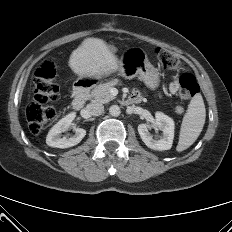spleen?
<instances>
[{
  "label": "spleen",
  "mask_w": 232,
  "mask_h": 232,
  "mask_svg": "<svg viewBox=\"0 0 232 232\" xmlns=\"http://www.w3.org/2000/svg\"><path fill=\"white\" fill-rule=\"evenodd\" d=\"M206 118V109L201 94H196L190 101L180 128L178 152L189 148L200 135Z\"/></svg>",
  "instance_id": "1"
}]
</instances>
